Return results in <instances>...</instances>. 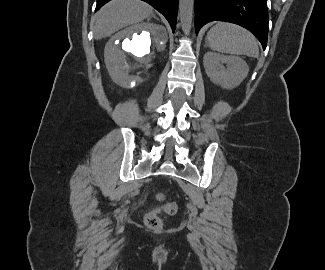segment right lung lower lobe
<instances>
[{"mask_svg": "<svg viewBox=\"0 0 325 270\" xmlns=\"http://www.w3.org/2000/svg\"><path fill=\"white\" fill-rule=\"evenodd\" d=\"M110 0H97L96 11L99 10L105 3ZM158 10L168 20L171 25L172 31H175L178 0H143Z\"/></svg>", "mask_w": 325, "mask_h": 270, "instance_id": "98d812e1", "label": "right lung lower lobe"}]
</instances>
